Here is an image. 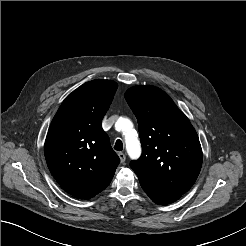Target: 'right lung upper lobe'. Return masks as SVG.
Returning <instances> with one entry per match:
<instances>
[{"label":"right lung upper lobe","instance_id":"right-lung-upper-lobe-1","mask_svg":"<svg viewBox=\"0 0 246 246\" xmlns=\"http://www.w3.org/2000/svg\"><path fill=\"white\" fill-rule=\"evenodd\" d=\"M117 83L96 79L81 85L61 104L45 141L48 168L69 194L90 199L111 182L120 162L101 121Z\"/></svg>","mask_w":246,"mask_h":246}]
</instances>
